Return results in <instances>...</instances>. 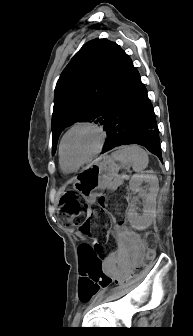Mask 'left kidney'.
Masks as SVG:
<instances>
[{
  "mask_svg": "<svg viewBox=\"0 0 193 336\" xmlns=\"http://www.w3.org/2000/svg\"><path fill=\"white\" fill-rule=\"evenodd\" d=\"M144 182L149 185L148 193L141 188V185ZM129 187L132 191L139 192L140 197H143L145 200L143 215L139 216L136 212L135 201L137 198H134L130 203L127 218L134 228L137 230H144L152 224L155 215L156 197L159 191L158 178L152 170L142 172L140 174H134L129 182Z\"/></svg>",
  "mask_w": 193,
  "mask_h": 336,
  "instance_id": "1",
  "label": "left kidney"
}]
</instances>
